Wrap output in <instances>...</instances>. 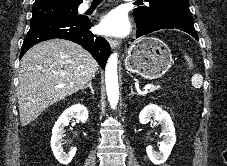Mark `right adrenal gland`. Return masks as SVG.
Returning <instances> with one entry per match:
<instances>
[{"instance_id": "obj_1", "label": "right adrenal gland", "mask_w": 227, "mask_h": 166, "mask_svg": "<svg viewBox=\"0 0 227 166\" xmlns=\"http://www.w3.org/2000/svg\"><path fill=\"white\" fill-rule=\"evenodd\" d=\"M86 87L90 88L91 93L94 94V90H93V88H92V79L89 81V83L87 84Z\"/></svg>"}]
</instances>
